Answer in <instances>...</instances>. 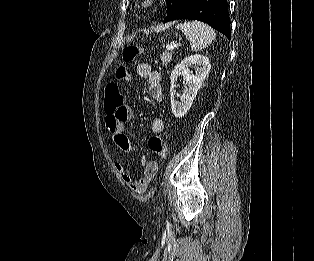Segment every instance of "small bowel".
Instances as JSON below:
<instances>
[{"mask_svg":"<svg viewBox=\"0 0 314 261\" xmlns=\"http://www.w3.org/2000/svg\"><path fill=\"white\" fill-rule=\"evenodd\" d=\"M137 74L148 80L149 97L159 102L163 99V90L161 84V75L159 72L152 70L148 63H139L136 68ZM132 118V111L127 105L118 107L115 111L106 110L105 126L112 135L116 147L128 153H135L136 149L131 139L125 132L126 123ZM164 129V122L161 118H154L151 122V131L154 134H160ZM143 173L136 177L130 174L120 163H115L114 167L128 188L135 194H144L156 177L158 172V164L156 161L148 160L146 157L141 158Z\"/></svg>","mask_w":314,"mask_h":261,"instance_id":"c3829d8e","label":"small bowel"}]
</instances>
